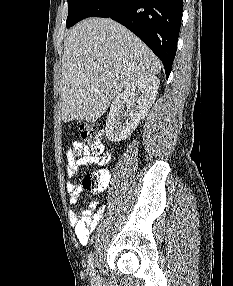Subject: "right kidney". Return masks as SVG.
Here are the masks:
<instances>
[{
  "label": "right kidney",
  "instance_id": "obj_1",
  "mask_svg": "<svg viewBox=\"0 0 233 286\" xmlns=\"http://www.w3.org/2000/svg\"><path fill=\"white\" fill-rule=\"evenodd\" d=\"M159 84L157 76L142 75L129 83L124 91L114 98L105 126L109 141L119 142L131 135L154 103ZM125 104L127 109L122 117L121 110Z\"/></svg>",
  "mask_w": 233,
  "mask_h": 286
}]
</instances>
